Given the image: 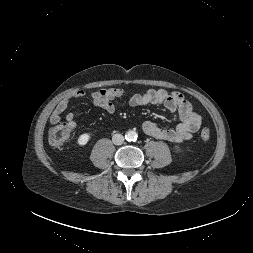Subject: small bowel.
<instances>
[{
  "label": "small bowel",
  "mask_w": 253,
  "mask_h": 253,
  "mask_svg": "<svg viewBox=\"0 0 253 253\" xmlns=\"http://www.w3.org/2000/svg\"><path fill=\"white\" fill-rule=\"evenodd\" d=\"M85 96L86 93L83 90H76L66 95L51 113L50 123L53 125L58 124L70 101ZM124 97L127 99L129 105L133 107L161 105L168 112L178 114L180 122L172 128H161L152 121L143 122V132L151 137L173 143H182L190 140L193 134L200 129L202 123L201 116L193 111L191 103L178 91L169 92L165 89H149L143 93H135L128 96L121 88H107L90 94L92 104L109 114L115 111L114 100ZM74 118L73 112H69L66 116L67 122L73 128L76 125Z\"/></svg>",
  "instance_id": "obj_1"
}]
</instances>
